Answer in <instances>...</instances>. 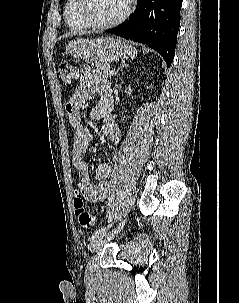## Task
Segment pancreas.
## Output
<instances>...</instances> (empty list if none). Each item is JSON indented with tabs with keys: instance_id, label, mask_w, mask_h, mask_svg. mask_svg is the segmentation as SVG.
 <instances>
[{
	"instance_id": "obj_1",
	"label": "pancreas",
	"mask_w": 239,
	"mask_h": 303,
	"mask_svg": "<svg viewBox=\"0 0 239 303\" xmlns=\"http://www.w3.org/2000/svg\"><path fill=\"white\" fill-rule=\"evenodd\" d=\"M96 68L103 73L105 78H109L111 76V72H109L110 65L107 63H96Z\"/></svg>"
}]
</instances>
